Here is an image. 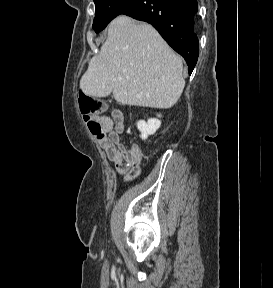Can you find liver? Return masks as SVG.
Listing matches in <instances>:
<instances>
[{
	"label": "liver",
	"mask_w": 273,
	"mask_h": 288,
	"mask_svg": "<svg viewBox=\"0 0 273 288\" xmlns=\"http://www.w3.org/2000/svg\"><path fill=\"white\" fill-rule=\"evenodd\" d=\"M182 59L147 23L127 16L115 18L108 38L80 80L87 96L106 97L124 105L159 109L172 107L185 81Z\"/></svg>",
	"instance_id": "6515ba94"
}]
</instances>
